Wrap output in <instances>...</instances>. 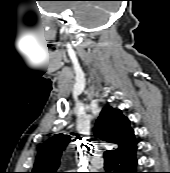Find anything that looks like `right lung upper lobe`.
<instances>
[{
	"label": "right lung upper lobe",
	"mask_w": 170,
	"mask_h": 173,
	"mask_svg": "<svg viewBox=\"0 0 170 173\" xmlns=\"http://www.w3.org/2000/svg\"><path fill=\"white\" fill-rule=\"evenodd\" d=\"M71 135H75L71 133ZM94 135L117 145L113 155L121 153L135 144L134 131L129 119L120 109L105 106L96 122ZM73 140L70 135L57 134L47 140L39 149L33 171L31 173H57L62 151Z\"/></svg>",
	"instance_id": "1"
}]
</instances>
